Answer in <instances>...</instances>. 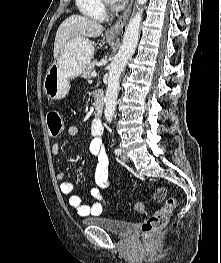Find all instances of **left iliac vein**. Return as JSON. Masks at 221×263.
<instances>
[{"mask_svg":"<svg viewBox=\"0 0 221 263\" xmlns=\"http://www.w3.org/2000/svg\"><path fill=\"white\" fill-rule=\"evenodd\" d=\"M121 159L123 161H128V156L126 154V152L122 149V153H121Z\"/></svg>","mask_w":221,"mask_h":263,"instance_id":"left-iliac-vein-1","label":"left iliac vein"}]
</instances>
